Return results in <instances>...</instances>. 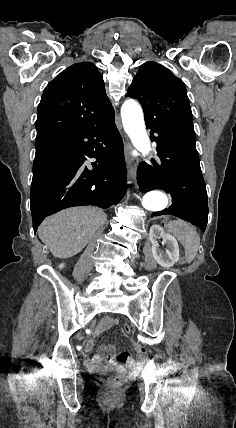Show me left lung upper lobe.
<instances>
[{"instance_id": "left-lung-upper-lobe-1", "label": "left lung upper lobe", "mask_w": 236, "mask_h": 428, "mask_svg": "<svg viewBox=\"0 0 236 428\" xmlns=\"http://www.w3.org/2000/svg\"><path fill=\"white\" fill-rule=\"evenodd\" d=\"M125 96L137 99L149 125L168 127L181 138L195 142L192 112L185 84L164 66H140Z\"/></svg>"}]
</instances>
